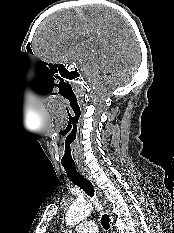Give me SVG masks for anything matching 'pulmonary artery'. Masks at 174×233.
<instances>
[{
  "label": "pulmonary artery",
  "instance_id": "pulmonary-artery-1",
  "mask_svg": "<svg viewBox=\"0 0 174 233\" xmlns=\"http://www.w3.org/2000/svg\"><path fill=\"white\" fill-rule=\"evenodd\" d=\"M76 232L77 233H98V228L95 222L85 221L76 227Z\"/></svg>",
  "mask_w": 174,
  "mask_h": 233
}]
</instances>
